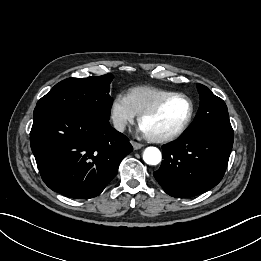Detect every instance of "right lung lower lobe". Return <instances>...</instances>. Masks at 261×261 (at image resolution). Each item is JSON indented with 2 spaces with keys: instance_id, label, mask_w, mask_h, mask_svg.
I'll list each match as a JSON object with an SVG mask.
<instances>
[{
  "instance_id": "right-lung-lower-lobe-1",
  "label": "right lung lower lobe",
  "mask_w": 261,
  "mask_h": 261,
  "mask_svg": "<svg viewBox=\"0 0 261 261\" xmlns=\"http://www.w3.org/2000/svg\"><path fill=\"white\" fill-rule=\"evenodd\" d=\"M30 144L45 184L66 197L98 196L133 147L108 122L84 112L36 107Z\"/></svg>"
}]
</instances>
